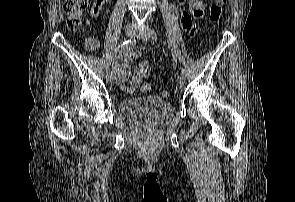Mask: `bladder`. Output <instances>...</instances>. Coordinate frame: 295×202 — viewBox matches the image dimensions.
Instances as JSON below:
<instances>
[{
  "mask_svg": "<svg viewBox=\"0 0 295 202\" xmlns=\"http://www.w3.org/2000/svg\"><path fill=\"white\" fill-rule=\"evenodd\" d=\"M118 113L129 121L161 125L172 119L174 107L169 101L148 95L122 101Z\"/></svg>",
  "mask_w": 295,
  "mask_h": 202,
  "instance_id": "1",
  "label": "bladder"
}]
</instances>
